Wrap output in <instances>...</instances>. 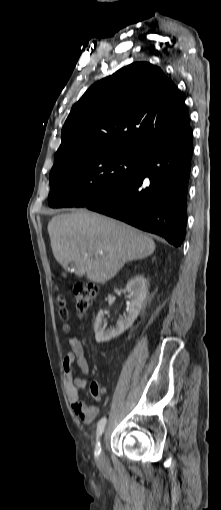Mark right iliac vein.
I'll return each instance as SVG.
<instances>
[{"instance_id": "63e3f726", "label": "right iliac vein", "mask_w": 221, "mask_h": 510, "mask_svg": "<svg viewBox=\"0 0 221 510\" xmlns=\"http://www.w3.org/2000/svg\"><path fill=\"white\" fill-rule=\"evenodd\" d=\"M98 462L100 465H104V463H105L102 453L98 457Z\"/></svg>"}]
</instances>
